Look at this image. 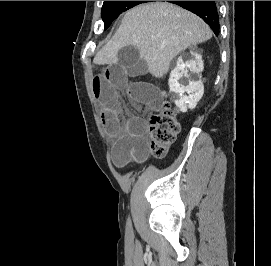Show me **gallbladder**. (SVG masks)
I'll list each match as a JSON object with an SVG mask.
<instances>
[{"mask_svg":"<svg viewBox=\"0 0 271 266\" xmlns=\"http://www.w3.org/2000/svg\"><path fill=\"white\" fill-rule=\"evenodd\" d=\"M118 63L125 69L130 77L147 74L148 66L145 59L140 57L135 46H125L118 54Z\"/></svg>","mask_w":271,"mask_h":266,"instance_id":"obj_1","label":"gallbladder"}]
</instances>
